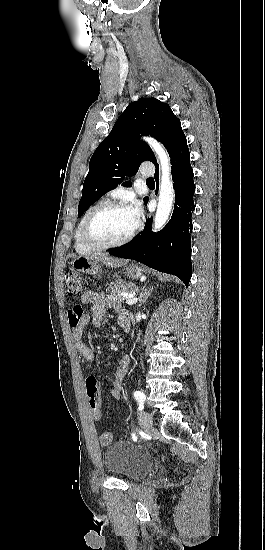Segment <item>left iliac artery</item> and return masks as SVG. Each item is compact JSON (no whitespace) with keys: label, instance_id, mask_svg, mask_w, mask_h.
<instances>
[{"label":"left iliac artery","instance_id":"obj_1","mask_svg":"<svg viewBox=\"0 0 265 550\" xmlns=\"http://www.w3.org/2000/svg\"><path fill=\"white\" fill-rule=\"evenodd\" d=\"M133 395H134L135 399L137 400V402L139 403V409H143L144 402H145V399H146L145 394L141 391H135ZM132 439L134 441L137 440V437L135 436V434H132Z\"/></svg>","mask_w":265,"mask_h":550}]
</instances>
